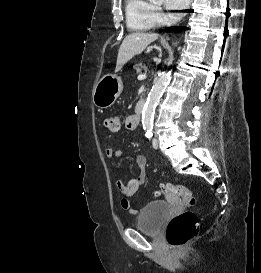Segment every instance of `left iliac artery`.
Segmentation results:
<instances>
[{"mask_svg": "<svg viewBox=\"0 0 261 273\" xmlns=\"http://www.w3.org/2000/svg\"><path fill=\"white\" fill-rule=\"evenodd\" d=\"M148 137L150 138V137H152V132H151V129L150 130H148Z\"/></svg>", "mask_w": 261, "mask_h": 273, "instance_id": "left-iliac-artery-1", "label": "left iliac artery"}]
</instances>
